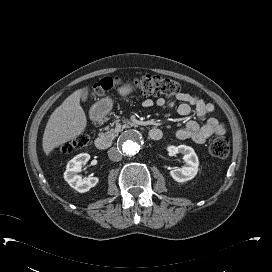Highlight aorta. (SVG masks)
Returning <instances> with one entry per match:
<instances>
[{
  "mask_svg": "<svg viewBox=\"0 0 272 272\" xmlns=\"http://www.w3.org/2000/svg\"><path fill=\"white\" fill-rule=\"evenodd\" d=\"M120 147L127 156L139 154L145 145V140L141 132L136 129L127 131L120 139Z\"/></svg>",
  "mask_w": 272,
  "mask_h": 272,
  "instance_id": "1",
  "label": "aorta"
}]
</instances>
